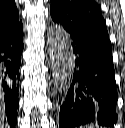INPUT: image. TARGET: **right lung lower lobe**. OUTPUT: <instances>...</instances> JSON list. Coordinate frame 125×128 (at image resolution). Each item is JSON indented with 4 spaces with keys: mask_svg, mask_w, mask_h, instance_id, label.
<instances>
[{
    "mask_svg": "<svg viewBox=\"0 0 125 128\" xmlns=\"http://www.w3.org/2000/svg\"><path fill=\"white\" fill-rule=\"evenodd\" d=\"M23 47L22 25L0 35V91L4 97L3 106L11 128H15L17 122L19 68Z\"/></svg>",
    "mask_w": 125,
    "mask_h": 128,
    "instance_id": "98d812e1",
    "label": "right lung lower lobe"
}]
</instances>
